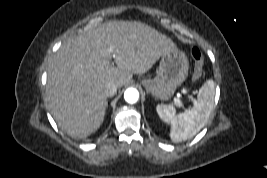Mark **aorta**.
Listing matches in <instances>:
<instances>
[{
  "label": "aorta",
  "instance_id": "obj_1",
  "mask_svg": "<svg viewBox=\"0 0 267 178\" xmlns=\"http://www.w3.org/2000/svg\"><path fill=\"white\" fill-rule=\"evenodd\" d=\"M124 99L126 102L130 104H134L138 101L139 99V92L135 88H128L124 92Z\"/></svg>",
  "mask_w": 267,
  "mask_h": 178
}]
</instances>
